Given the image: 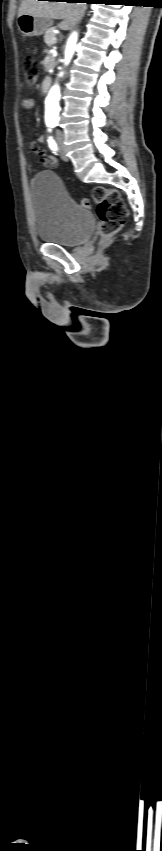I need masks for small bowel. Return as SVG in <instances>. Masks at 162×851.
I'll return each instance as SVG.
<instances>
[{
	"mask_svg": "<svg viewBox=\"0 0 162 851\" xmlns=\"http://www.w3.org/2000/svg\"><path fill=\"white\" fill-rule=\"evenodd\" d=\"M21 106L23 110L28 111L34 107V100L26 98L22 101ZM44 142L45 137L39 136L36 142L31 143L30 148L44 166L53 169L57 166V159L54 156L46 154L44 148L41 146Z\"/></svg>",
	"mask_w": 162,
	"mask_h": 851,
	"instance_id": "1",
	"label": "small bowel"
}]
</instances>
